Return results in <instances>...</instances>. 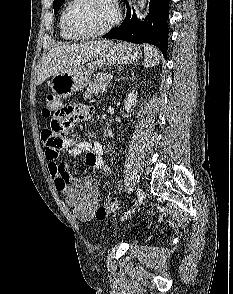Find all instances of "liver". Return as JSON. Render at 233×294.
<instances>
[{"instance_id": "obj_1", "label": "liver", "mask_w": 233, "mask_h": 294, "mask_svg": "<svg viewBox=\"0 0 233 294\" xmlns=\"http://www.w3.org/2000/svg\"><path fill=\"white\" fill-rule=\"evenodd\" d=\"M111 45V41L96 40L79 44L61 45L51 49L43 58L38 69L37 85L42 84L51 76L97 58Z\"/></svg>"}]
</instances>
